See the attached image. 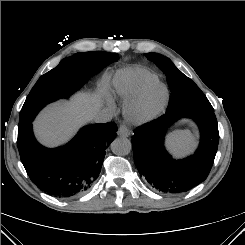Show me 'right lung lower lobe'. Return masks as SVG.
I'll list each match as a JSON object with an SVG mask.
<instances>
[{
	"mask_svg": "<svg viewBox=\"0 0 245 245\" xmlns=\"http://www.w3.org/2000/svg\"><path fill=\"white\" fill-rule=\"evenodd\" d=\"M105 62L88 56L82 61V74L88 80L105 67ZM114 122L83 127L66 145L48 149L40 145L32 123L18 128L17 146L21 161L31 181L41 190L71 198L86 192L98 178L105 148L115 139Z\"/></svg>",
	"mask_w": 245,
	"mask_h": 245,
	"instance_id": "right-lung-lower-lobe-1",
	"label": "right lung lower lobe"
}]
</instances>
